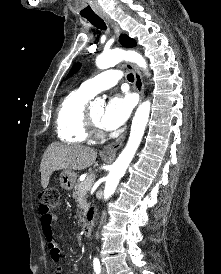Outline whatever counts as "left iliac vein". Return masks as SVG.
Returning <instances> with one entry per match:
<instances>
[{
	"instance_id": "1",
	"label": "left iliac vein",
	"mask_w": 221,
	"mask_h": 274,
	"mask_svg": "<svg viewBox=\"0 0 221 274\" xmlns=\"http://www.w3.org/2000/svg\"><path fill=\"white\" fill-rule=\"evenodd\" d=\"M101 274H107V272H106V269H105V268H103V269H102Z\"/></svg>"
}]
</instances>
